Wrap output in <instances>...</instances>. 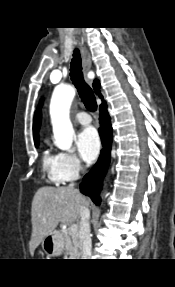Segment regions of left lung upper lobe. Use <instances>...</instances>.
Listing matches in <instances>:
<instances>
[{
    "instance_id": "5c2ea615",
    "label": "left lung upper lobe",
    "mask_w": 175,
    "mask_h": 287,
    "mask_svg": "<svg viewBox=\"0 0 175 287\" xmlns=\"http://www.w3.org/2000/svg\"><path fill=\"white\" fill-rule=\"evenodd\" d=\"M41 105L39 106V112H38V123L40 125V121H41V111H40Z\"/></svg>"
}]
</instances>
